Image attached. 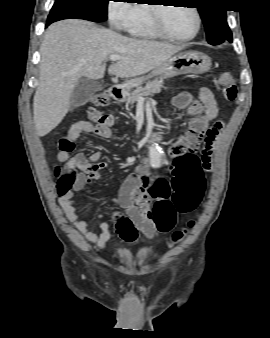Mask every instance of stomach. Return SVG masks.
Masks as SVG:
<instances>
[{
	"label": "stomach",
	"instance_id": "1",
	"mask_svg": "<svg viewBox=\"0 0 270 338\" xmlns=\"http://www.w3.org/2000/svg\"><path fill=\"white\" fill-rule=\"evenodd\" d=\"M210 57L195 51H183L156 67L148 76L135 78L128 86H139L152 77L169 78L182 74H202L210 70Z\"/></svg>",
	"mask_w": 270,
	"mask_h": 338
}]
</instances>
